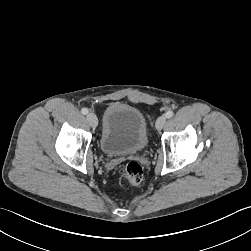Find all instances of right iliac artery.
Instances as JSON below:
<instances>
[{
  "mask_svg": "<svg viewBox=\"0 0 251 251\" xmlns=\"http://www.w3.org/2000/svg\"><path fill=\"white\" fill-rule=\"evenodd\" d=\"M88 112H89V111H88L87 108H82V109H81V113L84 114V115L88 114Z\"/></svg>",
  "mask_w": 251,
  "mask_h": 251,
  "instance_id": "right-iliac-artery-1",
  "label": "right iliac artery"
}]
</instances>
